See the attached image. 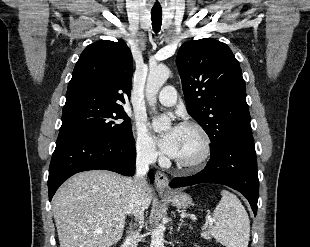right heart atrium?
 I'll return each mask as SVG.
<instances>
[{
  "label": "right heart atrium",
  "instance_id": "d8ad5b80",
  "mask_svg": "<svg viewBox=\"0 0 310 247\" xmlns=\"http://www.w3.org/2000/svg\"><path fill=\"white\" fill-rule=\"evenodd\" d=\"M135 148L137 154L147 161H153L159 155L154 139L143 122H138L135 126Z\"/></svg>",
  "mask_w": 310,
  "mask_h": 247
}]
</instances>
